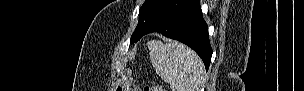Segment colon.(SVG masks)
I'll list each match as a JSON object with an SVG mask.
<instances>
[{
  "mask_svg": "<svg viewBox=\"0 0 304 91\" xmlns=\"http://www.w3.org/2000/svg\"><path fill=\"white\" fill-rule=\"evenodd\" d=\"M118 91H136L138 90L137 87L131 86V85H124L121 87H118ZM144 91H163L162 87L160 85H147L144 88Z\"/></svg>",
  "mask_w": 304,
  "mask_h": 91,
  "instance_id": "1",
  "label": "colon"
}]
</instances>
